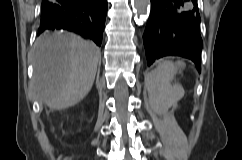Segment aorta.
Instances as JSON below:
<instances>
[{
	"instance_id": "obj_1",
	"label": "aorta",
	"mask_w": 242,
	"mask_h": 160,
	"mask_svg": "<svg viewBox=\"0 0 242 160\" xmlns=\"http://www.w3.org/2000/svg\"><path fill=\"white\" fill-rule=\"evenodd\" d=\"M135 12L138 17H145L150 10V0H133Z\"/></svg>"
}]
</instances>
